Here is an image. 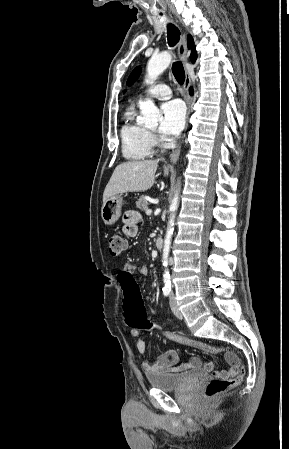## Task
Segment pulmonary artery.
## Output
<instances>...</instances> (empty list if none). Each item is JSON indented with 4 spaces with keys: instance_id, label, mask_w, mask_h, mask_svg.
Listing matches in <instances>:
<instances>
[{
    "instance_id": "pulmonary-artery-1",
    "label": "pulmonary artery",
    "mask_w": 289,
    "mask_h": 449,
    "mask_svg": "<svg viewBox=\"0 0 289 449\" xmlns=\"http://www.w3.org/2000/svg\"><path fill=\"white\" fill-rule=\"evenodd\" d=\"M145 96L158 99H167L171 96V89L166 84H157L148 89L145 92Z\"/></svg>"
}]
</instances>
